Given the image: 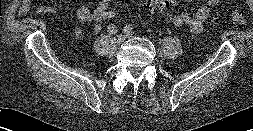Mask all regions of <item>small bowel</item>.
Returning a JSON list of instances; mask_svg holds the SVG:
<instances>
[{"instance_id":"c3829d8e","label":"small bowel","mask_w":253,"mask_h":131,"mask_svg":"<svg viewBox=\"0 0 253 131\" xmlns=\"http://www.w3.org/2000/svg\"><path fill=\"white\" fill-rule=\"evenodd\" d=\"M187 2H192V0H186ZM222 0H203V4L193 10L190 13L177 14L172 18V23L176 27L188 26L193 33H199L202 28L204 22L209 18L212 11L221 3ZM111 0H100L97 6L94 9H88L86 7H80L76 10L75 14L77 18L82 23H95L93 26V30L95 32H100L102 29L101 22L102 13L104 10L109 8ZM32 0H24L19 9V13L21 15L26 14L31 6ZM65 7L68 10H71L69 2H65ZM45 13H55L56 10L51 7H47L43 10ZM73 34L75 36H79L82 34L81 27H76L73 30Z\"/></svg>"}]
</instances>
